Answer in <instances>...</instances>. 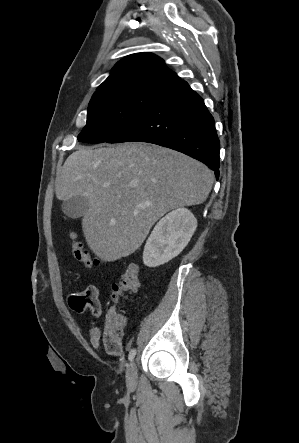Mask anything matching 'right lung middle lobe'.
Listing matches in <instances>:
<instances>
[{
    "label": "right lung middle lobe",
    "instance_id": "obj_1",
    "mask_svg": "<svg viewBox=\"0 0 299 443\" xmlns=\"http://www.w3.org/2000/svg\"><path fill=\"white\" fill-rule=\"evenodd\" d=\"M166 89L154 87L121 88L93 95L87 123L78 135L84 143L107 142L130 126Z\"/></svg>",
    "mask_w": 299,
    "mask_h": 443
}]
</instances>
